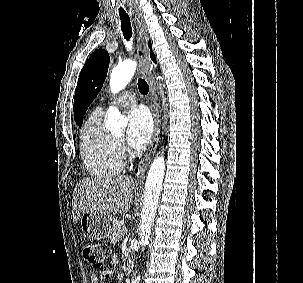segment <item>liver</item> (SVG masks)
Listing matches in <instances>:
<instances>
[{
	"label": "liver",
	"mask_w": 303,
	"mask_h": 283,
	"mask_svg": "<svg viewBox=\"0 0 303 283\" xmlns=\"http://www.w3.org/2000/svg\"><path fill=\"white\" fill-rule=\"evenodd\" d=\"M134 180L129 176L86 178L80 180L73 194V219L85 212L124 214L133 202Z\"/></svg>",
	"instance_id": "liver-1"
}]
</instances>
